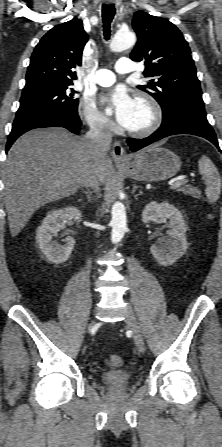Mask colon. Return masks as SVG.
<instances>
[{
    "instance_id": "obj_1",
    "label": "colon",
    "mask_w": 222,
    "mask_h": 447,
    "mask_svg": "<svg viewBox=\"0 0 222 447\" xmlns=\"http://www.w3.org/2000/svg\"><path fill=\"white\" fill-rule=\"evenodd\" d=\"M107 364L111 367V368H118L122 365V359L121 357H119L118 355H112L108 361Z\"/></svg>"
}]
</instances>
